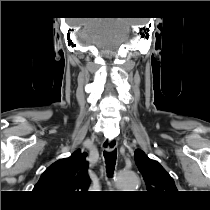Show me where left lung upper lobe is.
<instances>
[{
    "label": "left lung upper lobe",
    "instance_id": "obj_1",
    "mask_svg": "<svg viewBox=\"0 0 210 210\" xmlns=\"http://www.w3.org/2000/svg\"><path fill=\"white\" fill-rule=\"evenodd\" d=\"M134 157L149 192L163 194L177 191L173 178L157 161L141 150H137Z\"/></svg>",
    "mask_w": 210,
    "mask_h": 210
}]
</instances>
